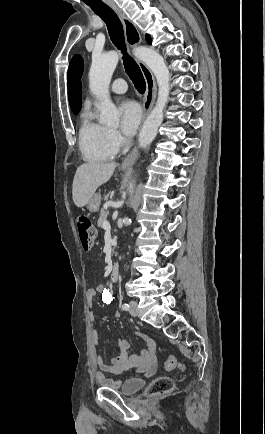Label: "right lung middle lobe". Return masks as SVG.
<instances>
[{"label":"right lung middle lobe","mask_w":265,"mask_h":434,"mask_svg":"<svg viewBox=\"0 0 265 434\" xmlns=\"http://www.w3.org/2000/svg\"><path fill=\"white\" fill-rule=\"evenodd\" d=\"M81 108V105H77V106H71V109L73 111L74 114H76Z\"/></svg>","instance_id":"obj_1"}]
</instances>
